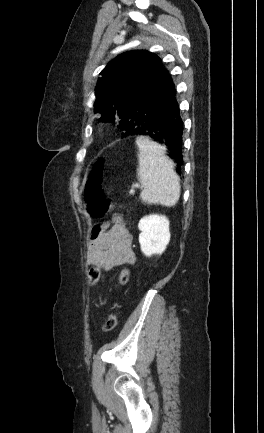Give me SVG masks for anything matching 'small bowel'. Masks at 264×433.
I'll use <instances>...</instances> for the list:
<instances>
[{
	"mask_svg": "<svg viewBox=\"0 0 264 433\" xmlns=\"http://www.w3.org/2000/svg\"><path fill=\"white\" fill-rule=\"evenodd\" d=\"M132 235L121 216L115 215L112 225L105 222L96 225L91 232L87 249V263L109 271L124 264H133Z\"/></svg>",
	"mask_w": 264,
	"mask_h": 433,
	"instance_id": "obj_1",
	"label": "small bowel"
}]
</instances>
